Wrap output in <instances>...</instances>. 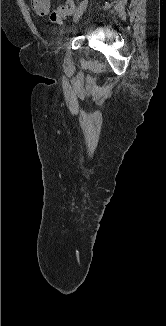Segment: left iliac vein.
Instances as JSON below:
<instances>
[{"label":"left iliac vein","mask_w":166,"mask_h":326,"mask_svg":"<svg viewBox=\"0 0 166 326\" xmlns=\"http://www.w3.org/2000/svg\"><path fill=\"white\" fill-rule=\"evenodd\" d=\"M88 0H83L74 13L73 20L77 22L87 8Z\"/></svg>","instance_id":"left-iliac-vein-1"}]
</instances>
